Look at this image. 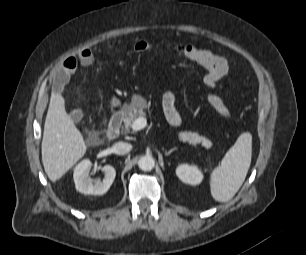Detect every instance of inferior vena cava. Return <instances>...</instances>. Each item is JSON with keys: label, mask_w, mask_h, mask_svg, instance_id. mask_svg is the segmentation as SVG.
I'll return each mask as SVG.
<instances>
[{"label": "inferior vena cava", "mask_w": 306, "mask_h": 255, "mask_svg": "<svg viewBox=\"0 0 306 255\" xmlns=\"http://www.w3.org/2000/svg\"><path fill=\"white\" fill-rule=\"evenodd\" d=\"M113 152L118 155H124L132 149V145L125 142H117L113 145Z\"/></svg>", "instance_id": "1"}]
</instances>
